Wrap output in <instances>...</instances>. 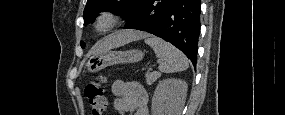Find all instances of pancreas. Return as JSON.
Here are the masks:
<instances>
[{
    "label": "pancreas",
    "mask_w": 285,
    "mask_h": 115,
    "mask_svg": "<svg viewBox=\"0 0 285 115\" xmlns=\"http://www.w3.org/2000/svg\"><path fill=\"white\" fill-rule=\"evenodd\" d=\"M161 76V73L160 72H147L145 74V77H146V83L148 85H152L159 77Z\"/></svg>",
    "instance_id": "1"
}]
</instances>
